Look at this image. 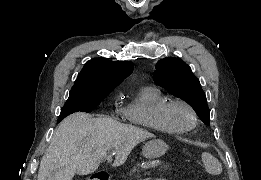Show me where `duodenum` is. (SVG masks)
<instances>
[{
	"label": "duodenum",
	"instance_id": "410a0bca",
	"mask_svg": "<svg viewBox=\"0 0 261 180\" xmlns=\"http://www.w3.org/2000/svg\"><path fill=\"white\" fill-rule=\"evenodd\" d=\"M89 180H110V177L107 176V173H92Z\"/></svg>",
	"mask_w": 261,
	"mask_h": 180
}]
</instances>
